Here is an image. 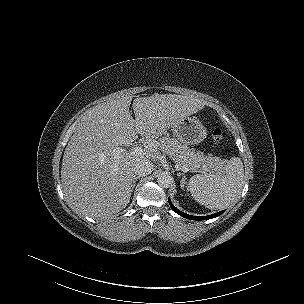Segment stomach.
<instances>
[{
	"label": "stomach",
	"instance_id": "stomach-1",
	"mask_svg": "<svg viewBox=\"0 0 304 304\" xmlns=\"http://www.w3.org/2000/svg\"><path fill=\"white\" fill-rule=\"evenodd\" d=\"M174 136L182 143L193 145L202 142L207 134L206 128L196 118L185 117L172 126Z\"/></svg>",
	"mask_w": 304,
	"mask_h": 304
}]
</instances>
